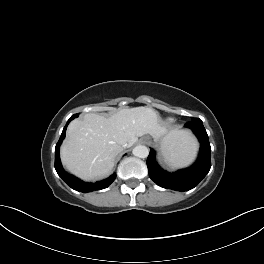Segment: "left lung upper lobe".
Segmentation results:
<instances>
[{
    "instance_id": "5c2ea615",
    "label": "left lung upper lobe",
    "mask_w": 264,
    "mask_h": 264,
    "mask_svg": "<svg viewBox=\"0 0 264 264\" xmlns=\"http://www.w3.org/2000/svg\"><path fill=\"white\" fill-rule=\"evenodd\" d=\"M199 118H192V120H198Z\"/></svg>"
}]
</instances>
